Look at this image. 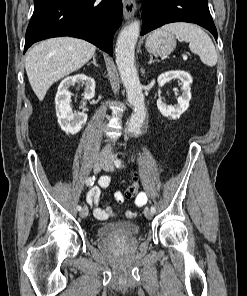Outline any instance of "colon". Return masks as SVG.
Returning <instances> with one entry per match:
<instances>
[{"label":"colon","mask_w":247,"mask_h":296,"mask_svg":"<svg viewBox=\"0 0 247 296\" xmlns=\"http://www.w3.org/2000/svg\"><path fill=\"white\" fill-rule=\"evenodd\" d=\"M138 190H139V183L135 181L126 188L124 192V197L127 199H131L137 195Z\"/></svg>","instance_id":"obj_1"}]
</instances>
